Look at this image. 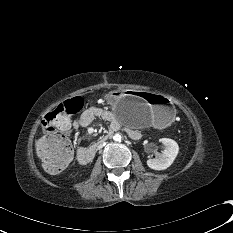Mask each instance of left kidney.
Segmentation results:
<instances>
[{
  "label": "left kidney",
  "instance_id": "5707ae66",
  "mask_svg": "<svg viewBox=\"0 0 233 233\" xmlns=\"http://www.w3.org/2000/svg\"><path fill=\"white\" fill-rule=\"evenodd\" d=\"M164 146V150L154 159H148L147 165L154 170H165L175 160L179 152V146L176 141L169 138L160 140Z\"/></svg>",
  "mask_w": 233,
  "mask_h": 233
}]
</instances>
